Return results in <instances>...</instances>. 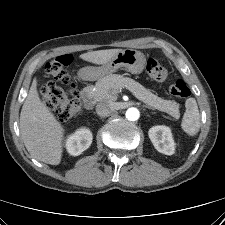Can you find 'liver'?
<instances>
[{
	"label": "liver",
	"mask_w": 225,
	"mask_h": 225,
	"mask_svg": "<svg viewBox=\"0 0 225 225\" xmlns=\"http://www.w3.org/2000/svg\"><path fill=\"white\" fill-rule=\"evenodd\" d=\"M122 49L91 51L80 58L94 63L105 64ZM20 132L30 155L38 161L58 165L63 153L64 128L57 121L49 107L43 103L37 91L34 78L20 113Z\"/></svg>",
	"instance_id": "6515ba94"
}]
</instances>
